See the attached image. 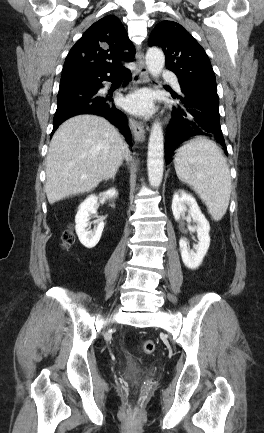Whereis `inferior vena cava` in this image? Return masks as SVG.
I'll use <instances>...</instances> for the list:
<instances>
[{
    "label": "inferior vena cava",
    "mask_w": 264,
    "mask_h": 433,
    "mask_svg": "<svg viewBox=\"0 0 264 433\" xmlns=\"http://www.w3.org/2000/svg\"><path fill=\"white\" fill-rule=\"evenodd\" d=\"M127 148H128L127 145L125 143H123V149L125 150Z\"/></svg>",
    "instance_id": "obj_1"
}]
</instances>
